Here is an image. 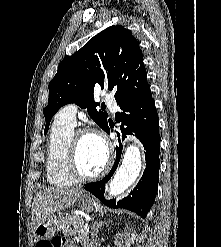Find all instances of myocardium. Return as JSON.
Segmentation results:
<instances>
[{"label": "myocardium", "instance_id": "1", "mask_svg": "<svg viewBox=\"0 0 221 247\" xmlns=\"http://www.w3.org/2000/svg\"><path fill=\"white\" fill-rule=\"evenodd\" d=\"M85 135H92L100 139L106 150V162L103 168L99 172L93 175H86L82 173L78 164V145L80 138ZM113 159H114L113 148L109 143V141L106 139V137L102 135L99 131L89 128H79L74 130L69 144L67 162H68V169L71 175L75 179L81 182H89L104 177L111 169L113 164Z\"/></svg>", "mask_w": 221, "mask_h": 247}]
</instances>
